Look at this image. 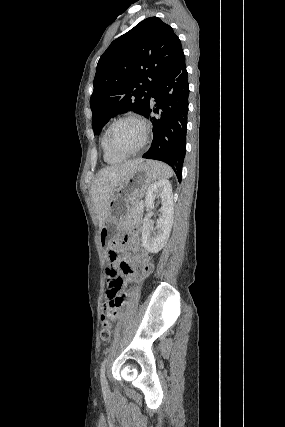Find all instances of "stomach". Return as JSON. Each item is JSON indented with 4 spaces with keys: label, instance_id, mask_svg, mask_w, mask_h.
<instances>
[{
    "label": "stomach",
    "instance_id": "1",
    "mask_svg": "<svg viewBox=\"0 0 285 427\" xmlns=\"http://www.w3.org/2000/svg\"><path fill=\"white\" fill-rule=\"evenodd\" d=\"M155 178L150 165L141 162L135 165L126 179L117 186L109 202L106 221L99 232L101 246L107 247L118 234L121 225L129 219L134 200L146 191Z\"/></svg>",
    "mask_w": 285,
    "mask_h": 427
}]
</instances>
